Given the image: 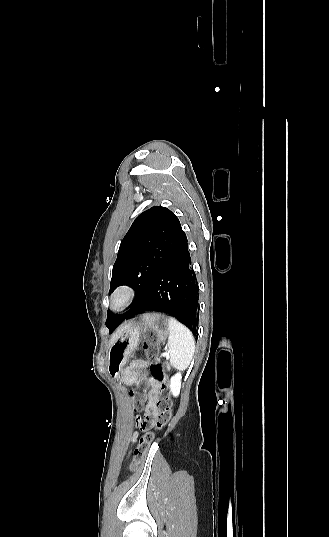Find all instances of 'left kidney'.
<instances>
[{
	"label": "left kidney",
	"mask_w": 329,
	"mask_h": 537,
	"mask_svg": "<svg viewBox=\"0 0 329 537\" xmlns=\"http://www.w3.org/2000/svg\"><path fill=\"white\" fill-rule=\"evenodd\" d=\"M182 375L180 373L175 374L170 380V391L174 396H178L181 388Z\"/></svg>",
	"instance_id": "5707ae66"
}]
</instances>
